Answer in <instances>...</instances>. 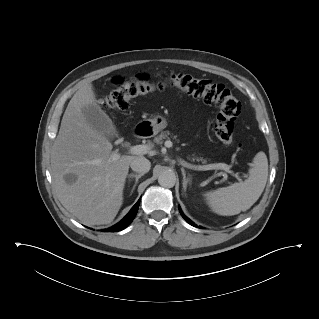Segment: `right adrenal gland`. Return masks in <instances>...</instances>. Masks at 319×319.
<instances>
[{
  "instance_id": "1",
  "label": "right adrenal gland",
  "mask_w": 319,
  "mask_h": 319,
  "mask_svg": "<svg viewBox=\"0 0 319 319\" xmlns=\"http://www.w3.org/2000/svg\"><path fill=\"white\" fill-rule=\"evenodd\" d=\"M143 175H144V174H133V173H131V174L128 175L129 178H135V184H134V186H133V188H132V190H131V193H133V191H134V189H135V187H136V185H137V183H138V180H139Z\"/></svg>"
}]
</instances>
